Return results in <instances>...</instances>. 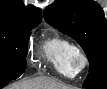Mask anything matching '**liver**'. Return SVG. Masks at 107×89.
I'll list each match as a JSON object with an SVG mask.
<instances>
[{
	"mask_svg": "<svg viewBox=\"0 0 107 89\" xmlns=\"http://www.w3.org/2000/svg\"><path fill=\"white\" fill-rule=\"evenodd\" d=\"M8 89H70L52 78L40 76L11 85Z\"/></svg>",
	"mask_w": 107,
	"mask_h": 89,
	"instance_id": "liver-1",
	"label": "liver"
}]
</instances>
